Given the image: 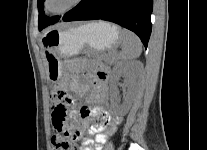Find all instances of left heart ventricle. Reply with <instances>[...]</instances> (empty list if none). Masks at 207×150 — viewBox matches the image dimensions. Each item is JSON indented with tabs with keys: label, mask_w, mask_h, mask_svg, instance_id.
Here are the masks:
<instances>
[{
	"label": "left heart ventricle",
	"mask_w": 207,
	"mask_h": 150,
	"mask_svg": "<svg viewBox=\"0 0 207 150\" xmlns=\"http://www.w3.org/2000/svg\"><path fill=\"white\" fill-rule=\"evenodd\" d=\"M74 0H49V8L52 11H60L68 7Z\"/></svg>",
	"instance_id": "left-heart-ventricle-1"
}]
</instances>
